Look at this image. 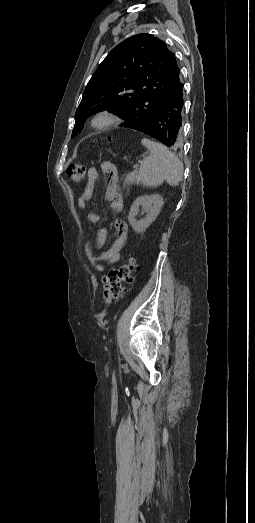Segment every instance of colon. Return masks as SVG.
<instances>
[{
    "mask_svg": "<svg viewBox=\"0 0 255 523\" xmlns=\"http://www.w3.org/2000/svg\"><path fill=\"white\" fill-rule=\"evenodd\" d=\"M67 174L74 183H81L86 174V169L81 164H71ZM136 261L130 258L117 268L109 270L104 278L103 299L109 304L124 293L125 285L132 282V273L136 269Z\"/></svg>",
    "mask_w": 255,
    "mask_h": 523,
    "instance_id": "5ec220e1",
    "label": "colon"
}]
</instances>
